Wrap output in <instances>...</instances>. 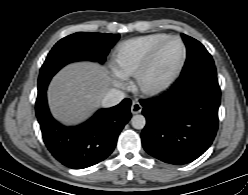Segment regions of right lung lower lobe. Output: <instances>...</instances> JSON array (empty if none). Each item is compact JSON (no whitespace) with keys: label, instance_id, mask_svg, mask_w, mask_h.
I'll use <instances>...</instances> for the list:
<instances>
[{"label":"right lung lower lobe","instance_id":"1","mask_svg":"<svg viewBox=\"0 0 248 195\" xmlns=\"http://www.w3.org/2000/svg\"><path fill=\"white\" fill-rule=\"evenodd\" d=\"M51 80L38 83L35 110L44 143L54 158L73 169L93 166L106 159L114 150L117 138L130 120L131 101L101 109L85 123L76 127H65L50 114L46 90Z\"/></svg>","mask_w":248,"mask_h":195}]
</instances>
